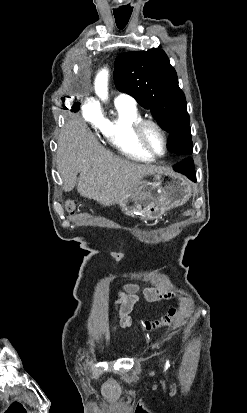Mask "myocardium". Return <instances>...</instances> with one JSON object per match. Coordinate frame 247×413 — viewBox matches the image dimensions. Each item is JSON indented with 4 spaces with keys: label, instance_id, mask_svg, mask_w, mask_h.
Wrapping results in <instances>:
<instances>
[{
    "label": "myocardium",
    "instance_id": "myocardium-1",
    "mask_svg": "<svg viewBox=\"0 0 247 413\" xmlns=\"http://www.w3.org/2000/svg\"><path fill=\"white\" fill-rule=\"evenodd\" d=\"M146 127H151L156 129L162 136L164 141V150L161 154H157L155 151L150 149L143 140V131ZM134 139L138 147L147 155L154 159H160L164 157L168 150V137L163 128H161L157 123L151 120H141L134 130Z\"/></svg>",
    "mask_w": 247,
    "mask_h": 413
}]
</instances>
